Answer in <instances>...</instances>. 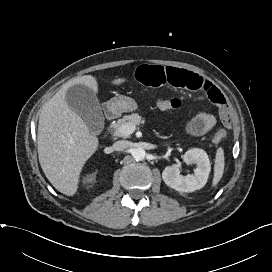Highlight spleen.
<instances>
[{
	"label": "spleen",
	"instance_id": "obj_1",
	"mask_svg": "<svg viewBox=\"0 0 272 272\" xmlns=\"http://www.w3.org/2000/svg\"><path fill=\"white\" fill-rule=\"evenodd\" d=\"M224 172V151L220 147L217 149L214 165V178L212 185L216 186L220 179L222 178Z\"/></svg>",
	"mask_w": 272,
	"mask_h": 272
}]
</instances>
